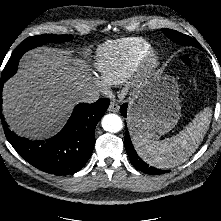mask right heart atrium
Masks as SVG:
<instances>
[{
  "label": "right heart atrium",
  "mask_w": 221,
  "mask_h": 221,
  "mask_svg": "<svg viewBox=\"0 0 221 221\" xmlns=\"http://www.w3.org/2000/svg\"><path fill=\"white\" fill-rule=\"evenodd\" d=\"M93 80L97 84V86L102 90L106 91L108 89V85L99 77L94 76Z\"/></svg>",
  "instance_id": "d8ad5b80"
}]
</instances>
